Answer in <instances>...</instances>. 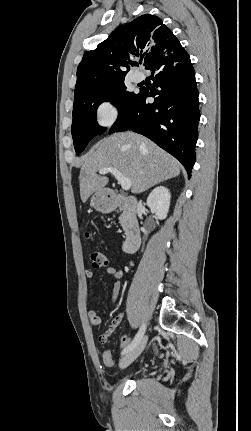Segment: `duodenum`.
I'll use <instances>...</instances> for the list:
<instances>
[{"mask_svg": "<svg viewBox=\"0 0 251 431\" xmlns=\"http://www.w3.org/2000/svg\"><path fill=\"white\" fill-rule=\"evenodd\" d=\"M112 206L125 211V239L122 249L126 253L136 251L141 242L138 220V203L135 198L122 195L112 197Z\"/></svg>", "mask_w": 251, "mask_h": 431, "instance_id": "410a0bca", "label": "duodenum"}]
</instances>
